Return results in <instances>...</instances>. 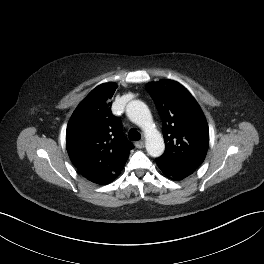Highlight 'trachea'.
Returning <instances> with one entry per match:
<instances>
[{"instance_id":"obj_1","label":"trachea","mask_w":264,"mask_h":264,"mask_svg":"<svg viewBox=\"0 0 264 264\" xmlns=\"http://www.w3.org/2000/svg\"><path fill=\"white\" fill-rule=\"evenodd\" d=\"M128 136L131 141H138L141 138L140 133L133 129L129 131Z\"/></svg>"}]
</instances>
